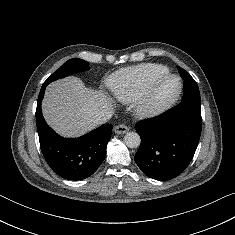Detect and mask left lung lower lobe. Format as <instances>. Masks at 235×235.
<instances>
[{
    "mask_svg": "<svg viewBox=\"0 0 235 235\" xmlns=\"http://www.w3.org/2000/svg\"><path fill=\"white\" fill-rule=\"evenodd\" d=\"M184 79L183 94L194 88ZM201 100L184 97L163 114L138 122L141 145L134 160L147 176L164 181L180 175L191 162L201 135Z\"/></svg>",
    "mask_w": 235,
    "mask_h": 235,
    "instance_id": "left-lung-lower-lobe-1",
    "label": "left lung lower lobe"
}]
</instances>
